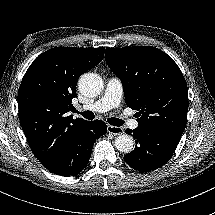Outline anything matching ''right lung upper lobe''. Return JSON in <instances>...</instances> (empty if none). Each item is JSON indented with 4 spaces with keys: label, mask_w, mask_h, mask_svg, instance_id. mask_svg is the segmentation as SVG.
<instances>
[{
    "label": "right lung upper lobe",
    "mask_w": 215,
    "mask_h": 215,
    "mask_svg": "<svg viewBox=\"0 0 215 215\" xmlns=\"http://www.w3.org/2000/svg\"><path fill=\"white\" fill-rule=\"evenodd\" d=\"M101 48H52L26 71L18 92L21 127L36 158L47 167L65 146L72 130L85 122L66 116L81 74L98 65Z\"/></svg>",
    "instance_id": "right-lung-upper-lobe-1"
}]
</instances>
